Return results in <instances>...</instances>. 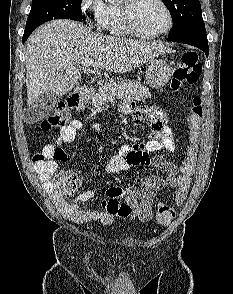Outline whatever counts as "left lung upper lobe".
<instances>
[{"instance_id":"obj_1","label":"left lung upper lobe","mask_w":233,"mask_h":294,"mask_svg":"<svg viewBox=\"0 0 233 294\" xmlns=\"http://www.w3.org/2000/svg\"><path fill=\"white\" fill-rule=\"evenodd\" d=\"M170 11L173 29L169 40L200 36L206 37V29L199 0H162Z\"/></svg>"}]
</instances>
